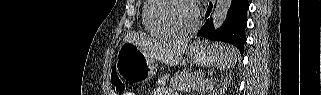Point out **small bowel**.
Listing matches in <instances>:
<instances>
[{"label":"small bowel","instance_id":"obj_1","mask_svg":"<svg viewBox=\"0 0 321 95\" xmlns=\"http://www.w3.org/2000/svg\"><path fill=\"white\" fill-rule=\"evenodd\" d=\"M127 95H131V94L128 93ZM156 95H167V94H163V93L158 92V93H156Z\"/></svg>","mask_w":321,"mask_h":95}]
</instances>
